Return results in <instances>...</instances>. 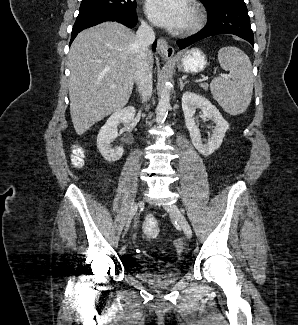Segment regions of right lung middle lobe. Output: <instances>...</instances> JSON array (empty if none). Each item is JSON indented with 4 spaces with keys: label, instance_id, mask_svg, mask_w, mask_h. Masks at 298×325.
Listing matches in <instances>:
<instances>
[{
    "label": "right lung middle lobe",
    "instance_id": "obj_1",
    "mask_svg": "<svg viewBox=\"0 0 298 325\" xmlns=\"http://www.w3.org/2000/svg\"><path fill=\"white\" fill-rule=\"evenodd\" d=\"M135 8V0H82L78 16L112 10L135 12Z\"/></svg>",
    "mask_w": 298,
    "mask_h": 325
}]
</instances>
